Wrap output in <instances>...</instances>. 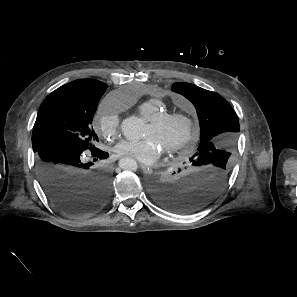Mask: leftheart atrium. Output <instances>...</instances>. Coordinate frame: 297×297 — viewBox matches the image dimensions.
I'll list each match as a JSON object with an SVG mask.
<instances>
[{"label":"left heart atrium","mask_w":297,"mask_h":297,"mask_svg":"<svg viewBox=\"0 0 297 297\" xmlns=\"http://www.w3.org/2000/svg\"><path fill=\"white\" fill-rule=\"evenodd\" d=\"M115 152L142 164H152L160 158L163 148L155 138L147 137L139 141L122 140L115 146Z\"/></svg>","instance_id":"39dd6f15"}]
</instances>
